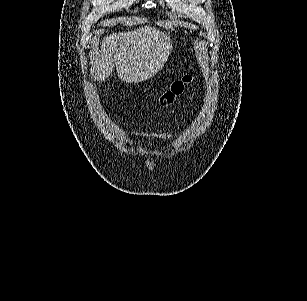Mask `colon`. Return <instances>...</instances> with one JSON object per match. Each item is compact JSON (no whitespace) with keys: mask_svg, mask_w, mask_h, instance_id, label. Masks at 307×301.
Instances as JSON below:
<instances>
[{"mask_svg":"<svg viewBox=\"0 0 307 301\" xmlns=\"http://www.w3.org/2000/svg\"><path fill=\"white\" fill-rule=\"evenodd\" d=\"M190 81H191L190 76H184L183 78L172 82L170 87L161 95L160 103L165 106L173 103L176 97L183 92L185 86Z\"/></svg>","mask_w":307,"mask_h":301,"instance_id":"1","label":"colon"}]
</instances>
